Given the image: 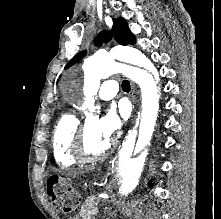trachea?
<instances>
[{"label": "trachea", "mask_w": 221, "mask_h": 219, "mask_svg": "<svg viewBox=\"0 0 221 219\" xmlns=\"http://www.w3.org/2000/svg\"><path fill=\"white\" fill-rule=\"evenodd\" d=\"M122 89H123L125 92H129V91H130V83H129V81L124 80V81L122 82Z\"/></svg>", "instance_id": "trachea-1"}]
</instances>
